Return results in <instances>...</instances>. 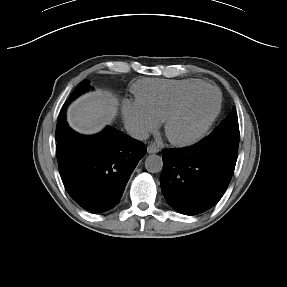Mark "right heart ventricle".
Segmentation results:
<instances>
[{"instance_id": "e07e8e85", "label": "right heart ventricle", "mask_w": 287, "mask_h": 287, "mask_svg": "<svg viewBox=\"0 0 287 287\" xmlns=\"http://www.w3.org/2000/svg\"><path fill=\"white\" fill-rule=\"evenodd\" d=\"M205 84L198 79H143L135 87L137 101L163 121L174 104L190 89Z\"/></svg>"}]
</instances>
